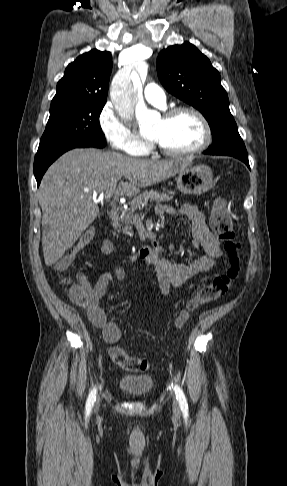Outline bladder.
Wrapping results in <instances>:
<instances>
[{
	"mask_svg": "<svg viewBox=\"0 0 287 486\" xmlns=\"http://www.w3.org/2000/svg\"><path fill=\"white\" fill-rule=\"evenodd\" d=\"M122 391L134 396H146L153 388V379L148 375H124L120 378Z\"/></svg>",
	"mask_w": 287,
	"mask_h": 486,
	"instance_id": "1",
	"label": "bladder"
}]
</instances>
